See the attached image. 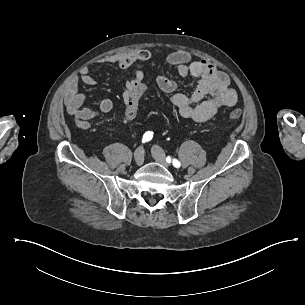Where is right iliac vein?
Segmentation results:
<instances>
[{"label": "right iliac vein", "instance_id": "right-iliac-vein-1", "mask_svg": "<svg viewBox=\"0 0 305 305\" xmlns=\"http://www.w3.org/2000/svg\"><path fill=\"white\" fill-rule=\"evenodd\" d=\"M134 157H135V162L137 166H141L144 162V154H143V150L142 148H138L135 153H134Z\"/></svg>", "mask_w": 305, "mask_h": 305}]
</instances>
